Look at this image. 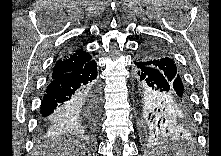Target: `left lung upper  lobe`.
<instances>
[{
	"instance_id": "1",
	"label": "left lung upper lobe",
	"mask_w": 221,
	"mask_h": 156,
	"mask_svg": "<svg viewBox=\"0 0 221 156\" xmlns=\"http://www.w3.org/2000/svg\"><path fill=\"white\" fill-rule=\"evenodd\" d=\"M138 59L146 64L172 72L177 83L178 95L186 104L190 105V99L183 84L181 73L162 45L157 43L145 45Z\"/></svg>"
}]
</instances>
